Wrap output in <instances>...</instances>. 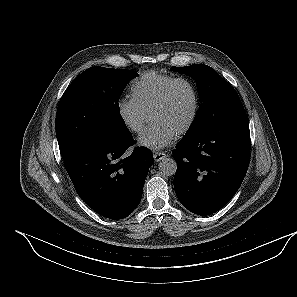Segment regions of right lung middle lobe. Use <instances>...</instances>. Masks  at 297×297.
Wrapping results in <instances>:
<instances>
[{
	"mask_svg": "<svg viewBox=\"0 0 297 297\" xmlns=\"http://www.w3.org/2000/svg\"><path fill=\"white\" fill-rule=\"evenodd\" d=\"M136 76L132 70L91 67L74 79L60 99L55 121L63 159L93 139L130 134L118 100Z\"/></svg>",
	"mask_w": 297,
	"mask_h": 297,
	"instance_id": "1",
	"label": "right lung middle lobe"
}]
</instances>
